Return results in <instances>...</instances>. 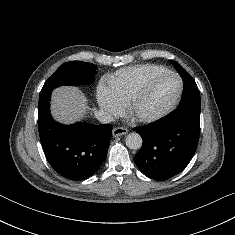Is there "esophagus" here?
Segmentation results:
<instances>
[{"mask_svg": "<svg viewBox=\"0 0 235 235\" xmlns=\"http://www.w3.org/2000/svg\"><path fill=\"white\" fill-rule=\"evenodd\" d=\"M128 133V130L126 128L123 127H116L113 129L112 131V135L113 136H122V135H126Z\"/></svg>", "mask_w": 235, "mask_h": 235, "instance_id": "1", "label": "esophagus"}]
</instances>
